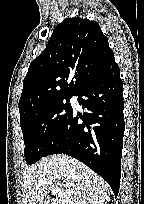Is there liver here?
Wrapping results in <instances>:
<instances>
[{
    "label": "liver",
    "instance_id": "liver-1",
    "mask_svg": "<svg viewBox=\"0 0 144 204\" xmlns=\"http://www.w3.org/2000/svg\"><path fill=\"white\" fill-rule=\"evenodd\" d=\"M23 203L37 204L52 189L61 196L49 204H104L110 196L109 185L82 162L67 155H52L27 167L23 172Z\"/></svg>",
    "mask_w": 144,
    "mask_h": 204
}]
</instances>
